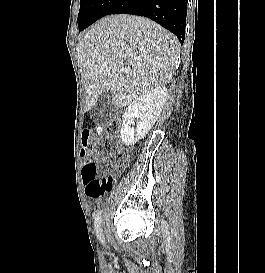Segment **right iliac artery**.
Wrapping results in <instances>:
<instances>
[{
  "mask_svg": "<svg viewBox=\"0 0 265 273\" xmlns=\"http://www.w3.org/2000/svg\"><path fill=\"white\" fill-rule=\"evenodd\" d=\"M101 211L97 213L96 217H95V220H94V231H95V234L98 238V240L104 244L105 243V239H104V235H103V232H102V228H101Z\"/></svg>",
  "mask_w": 265,
  "mask_h": 273,
  "instance_id": "1",
  "label": "right iliac artery"
}]
</instances>
